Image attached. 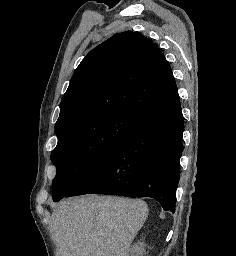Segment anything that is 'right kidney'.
Wrapping results in <instances>:
<instances>
[{"label":"right kidney","instance_id":"obj_1","mask_svg":"<svg viewBox=\"0 0 236 256\" xmlns=\"http://www.w3.org/2000/svg\"><path fill=\"white\" fill-rule=\"evenodd\" d=\"M145 244L144 242H137L131 248V256H145Z\"/></svg>","mask_w":236,"mask_h":256}]
</instances>
